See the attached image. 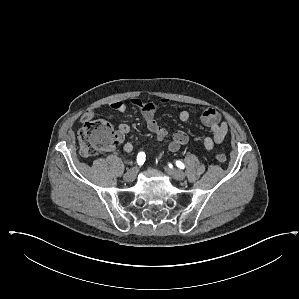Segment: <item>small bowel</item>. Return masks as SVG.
<instances>
[{
    "mask_svg": "<svg viewBox=\"0 0 299 299\" xmlns=\"http://www.w3.org/2000/svg\"><path fill=\"white\" fill-rule=\"evenodd\" d=\"M131 103L141 110L148 129L156 138L164 139L167 137L168 130L160 125L155 117L156 110L165 103L164 100L143 102L140 99L135 98L131 100ZM109 107L119 113H125L127 110L126 104L122 101L113 102ZM99 109V106L88 109L81 117L82 122L85 123L86 121L93 119ZM179 118L182 122L186 123L193 121L192 113L189 110H182L179 114ZM199 121L209 128L212 133V135L207 136L203 142L204 147L207 150H211L214 147V144H219L224 141L228 133V124L222 120V115L217 110L213 108L203 110ZM129 132L130 126L127 123H121L117 130V141L122 143ZM188 141L189 137L184 131H175L171 141L167 145V149L172 152L178 151L182 146L186 145ZM123 149L126 153H132L134 146L132 143L126 142L123 145Z\"/></svg>",
    "mask_w": 299,
    "mask_h": 299,
    "instance_id": "1",
    "label": "small bowel"
}]
</instances>
